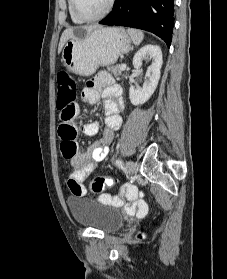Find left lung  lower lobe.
<instances>
[{
	"label": "left lung lower lobe",
	"mask_w": 227,
	"mask_h": 279,
	"mask_svg": "<svg viewBox=\"0 0 227 279\" xmlns=\"http://www.w3.org/2000/svg\"><path fill=\"white\" fill-rule=\"evenodd\" d=\"M99 23L150 31L170 47L174 0H116L111 13Z\"/></svg>",
	"instance_id": "left-lung-lower-lobe-1"
}]
</instances>
